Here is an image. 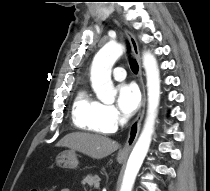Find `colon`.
<instances>
[{"label": "colon", "mask_w": 210, "mask_h": 191, "mask_svg": "<svg viewBox=\"0 0 210 191\" xmlns=\"http://www.w3.org/2000/svg\"><path fill=\"white\" fill-rule=\"evenodd\" d=\"M31 191H40V190H37V189H33V190H31Z\"/></svg>", "instance_id": "colon-1"}]
</instances>
